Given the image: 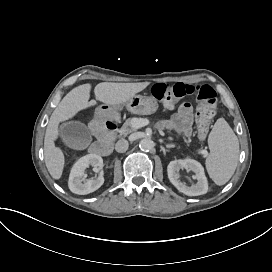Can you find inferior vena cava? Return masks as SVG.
Returning a JSON list of instances; mask_svg holds the SVG:
<instances>
[{
	"instance_id": "602c4592",
	"label": "inferior vena cava",
	"mask_w": 272,
	"mask_h": 272,
	"mask_svg": "<svg viewBox=\"0 0 272 272\" xmlns=\"http://www.w3.org/2000/svg\"><path fill=\"white\" fill-rule=\"evenodd\" d=\"M115 149L119 153L125 152L128 149V141L125 139L119 140L115 145Z\"/></svg>"
}]
</instances>
